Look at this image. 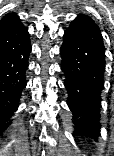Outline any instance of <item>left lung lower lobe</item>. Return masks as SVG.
I'll list each match as a JSON object with an SVG mask.
<instances>
[{
  "mask_svg": "<svg viewBox=\"0 0 114 156\" xmlns=\"http://www.w3.org/2000/svg\"><path fill=\"white\" fill-rule=\"evenodd\" d=\"M60 54L76 133L96 137L101 126L105 47L100 29L90 17L80 14L71 22L64 33Z\"/></svg>",
  "mask_w": 114,
  "mask_h": 156,
  "instance_id": "1",
  "label": "left lung lower lobe"
}]
</instances>
